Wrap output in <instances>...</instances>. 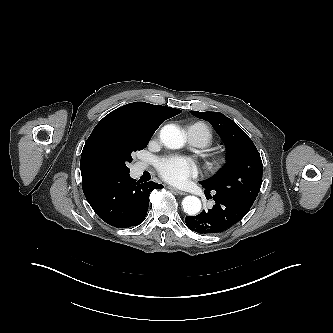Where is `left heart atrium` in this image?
Returning a JSON list of instances; mask_svg holds the SVG:
<instances>
[{
  "mask_svg": "<svg viewBox=\"0 0 333 333\" xmlns=\"http://www.w3.org/2000/svg\"><path fill=\"white\" fill-rule=\"evenodd\" d=\"M161 177L174 185H185L197 173L195 163L185 157L163 159L158 166Z\"/></svg>",
  "mask_w": 333,
  "mask_h": 333,
  "instance_id": "obj_1",
  "label": "left heart atrium"
}]
</instances>
